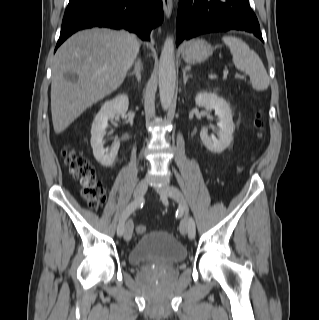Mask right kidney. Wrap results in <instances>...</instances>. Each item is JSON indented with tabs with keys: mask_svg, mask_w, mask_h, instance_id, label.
<instances>
[{
	"mask_svg": "<svg viewBox=\"0 0 319 320\" xmlns=\"http://www.w3.org/2000/svg\"><path fill=\"white\" fill-rule=\"evenodd\" d=\"M128 105V96L120 94L112 100L106 101L94 118L91 128V147L93 148L95 159L104 167L113 165L120 147L119 141L114 143L110 151L103 147V137L106 134L108 120L114 119L119 115H125Z\"/></svg>",
	"mask_w": 319,
	"mask_h": 320,
	"instance_id": "obj_1",
	"label": "right kidney"
}]
</instances>
